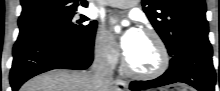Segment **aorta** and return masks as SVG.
Returning a JSON list of instances; mask_svg holds the SVG:
<instances>
[{
    "instance_id": "obj_1",
    "label": "aorta",
    "mask_w": 220,
    "mask_h": 91,
    "mask_svg": "<svg viewBox=\"0 0 220 91\" xmlns=\"http://www.w3.org/2000/svg\"><path fill=\"white\" fill-rule=\"evenodd\" d=\"M115 30L118 32L120 29H119V27H116V29H115Z\"/></svg>"
}]
</instances>
